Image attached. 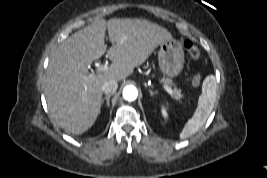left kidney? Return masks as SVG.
Wrapping results in <instances>:
<instances>
[{
    "instance_id": "left-kidney-1",
    "label": "left kidney",
    "mask_w": 267,
    "mask_h": 178,
    "mask_svg": "<svg viewBox=\"0 0 267 178\" xmlns=\"http://www.w3.org/2000/svg\"><path fill=\"white\" fill-rule=\"evenodd\" d=\"M161 113H162V115H163L165 118L168 116L165 107H162V108H161Z\"/></svg>"
}]
</instances>
